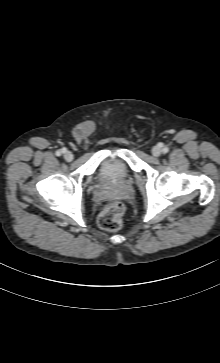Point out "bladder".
<instances>
[{"instance_id": "obj_1", "label": "bladder", "mask_w": 220, "mask_h": 363, "mask_svg": "<svg viewBox=\"0 0 220 363\" xmlns=\"http://www.w3.org/2000/svg\"><path fill=\"white\" fill-rule=\"evenodd\" d=\"M129 165L119 157H111L103 161L98 177L103 181H122L129 177Z\"/></svg>"}]
</instances>
